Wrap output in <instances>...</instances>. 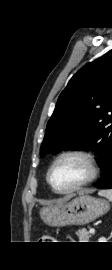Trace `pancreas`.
Masks as SVG:
<instances>
[{"label": "pancreas", "mask_w": 112, "mask_h": 270, "mask_svg": "<svg viewBox=\"0 0 112 270\" xmlns=\"http://www.w3.org/2000/svg\"><path fill=\"white\" fill-rule=\"evenodd\" d=\"M77 236L79 238V242H89V238L91 237V234L86 229H80L77 232Z\"/></svg>", "instance_id": "cf45deb5"}]
</instances>
